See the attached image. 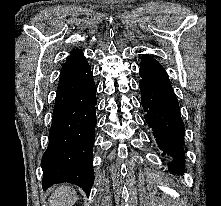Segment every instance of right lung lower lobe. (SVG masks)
Returning <instances> with one entry per match:
<instances>
[{
  "mask_svg": "<svg viewBox=\"0 0 221 206\" xmlns=\"http://www.w3.org/2000/svg\"><path fill=\"white\" fill-rule=\"evenodd\" d=\"M96 90L87 62L60 76L49 145L41 161L43 189L68 182L90 193L94 183Z\"/></svg>",
  "mask_w": 221,
  "mask_h": 206,
  "instance_id": "obj_1",
  "label": "right lung lower lobe"
}]
</instances>
